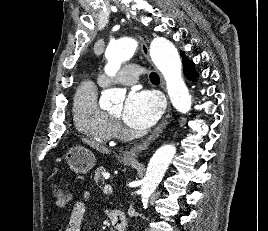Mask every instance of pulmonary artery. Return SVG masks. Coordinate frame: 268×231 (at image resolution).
<instances>
[{
	"instance_id": "obj_1",
	"label": "pulmonary artery",
	"mask_w": 268,
	"mask_h": 231,
	"mask_svg": "<svg viewBox=\"0 0 268 231\" xmlns=\"http://www.w3.org/2000/svg\"><path fill=\"white\" fill-rule=\"evenodd\" d=\"M140 65L138 63H131L129 64L119 75V77L116 79V81L126 84V85H132L134 84L138 77L142 74V72L139 70ZM98 81L101 85L105 86L108 85L111 81H113L112 78L105 74H101L98 77Z\"/></svg>"
}]
</instances>
